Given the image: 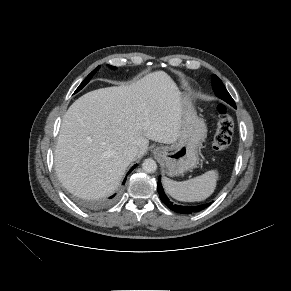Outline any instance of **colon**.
Wrapping results in <instances>:
<instances>
[{"instance_id": "1", "label": "colon", "mask_w": 291, "mask_h": 291, "mask_svg": "<svg viewBox=\"0 0 291 291\" xmlns=\"http://www.w3.org/2000/svg\"><path fill=\"white\" fill-rule=\"evenodd\" d=\"M217 110L219 119L212 141V148L219 152L229 147L232 141L234 123L225 105L220 104Z\"/></svg>"}]
</instances>
